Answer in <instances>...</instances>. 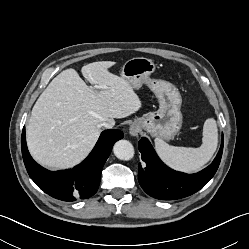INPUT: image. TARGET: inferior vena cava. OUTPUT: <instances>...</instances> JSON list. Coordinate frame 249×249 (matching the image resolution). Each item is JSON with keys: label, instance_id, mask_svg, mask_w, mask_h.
<instances>
[{"label": "inferior vena cava", "instance_id": "1", "mask_svg": "<svg viewBox=\"0 0 249 249\" xmlns=\"http://www.w3.org/2000/svg\"><path fill=\"white\" fill-rule=\"evenodd\" d=\"M101 126H103V127L106 128V129H111V128H113L114 123H112V122H103V123L101 124Z\"/></svg>", "mask_w": 249, "mask_h": 249}]
</instances>
